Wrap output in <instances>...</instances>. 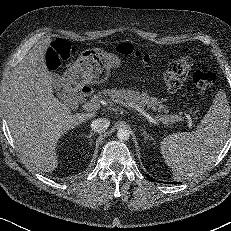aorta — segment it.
I'll use <instances>...</instances> for the list:
<instances>
[{
    "mask_svg": "<svg viewBox=\"0 0 231 231\" xmlns=\"http://www.w3.org/2000/svg\"><path fill=\"white\" fill-rule=\"evenodd\" d=\"M117 137L120 141H127L130 137V132H129V130H127L125 128H120L117 131Z\"/></svg>",
    "mask_w": 231,
    "mask_h": 231,
    "instance_id": "1",
    "label": "aorta"
}]
</instances>
